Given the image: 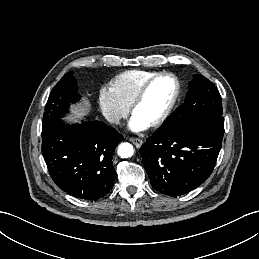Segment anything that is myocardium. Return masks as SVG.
Returning <instances> with one entry per match:
<instances>
[{
    "label": "myocardium",
    "instance_id": "f54148a6",
    "mask_svg": "<svg viewBox=\"0 0 259 259\" xmlns=\"http://www.w3.org/2000/svg\"><path fill=\"white\" fill-rule=\"evenodd\" d=\"M163 77H167L172 79L173 83H174V95L169 103V105L167 106L166 110L164 111V113L157 119L155 120L153 123H151L149 125V127L151 128H156L161 126L171 115L177 101L180 95V82L178 80V78L170 72H160L155 74L154 76H152L151 78H149L139 89V91L137 92V94L135 95L131 105H130V110L131 113L134 114L136 107L140 104V102L143 100V98L145 97L149 87L159 78H163Z\"/></svg>",
    "mask_w": 259,
    "mask_h": 259
}]
</instances>
